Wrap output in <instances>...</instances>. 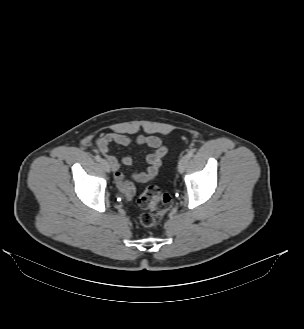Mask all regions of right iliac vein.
Segmentation results:
<instances>
[{
  "label": "right iliac vein",
  "mask_w": 304,
  "mask_h": 329,
  "mask_svg": "<svg viewBox=\"0 0 304 329\" xmlns=\"http://www.w3.org/2000/svg\"><path fill=\"white\" fill-rule=\"evenodd\" d=\"M100 164L102 166V168L106 171V172H110V165L109 163L105 160V159H102L100 161Z\"/></svg>",
  "instance_id": "right-iliac-vein-1"
}]
</instances>
